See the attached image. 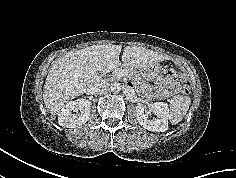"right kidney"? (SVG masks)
I'll list each match as a JSON object with an SVG mask.
<instances>
[{"mask_svg":"<svg viewBox=\"0 0 236 178\" xmlns=\"http://www.w3.org/2000/svg\"><path fill=\"white\" fill-rule=\"evenodd\" d=\"M72 111L78 112L72 113ZM90 115V102L87 99L70 101L59 113V125L64 128H75L85 124Z\"/></svg>","mask_w":236,"mask_h":178,"instance_id":"obj_1","label":"right kidney"}]
</instances>
